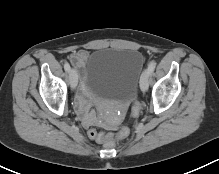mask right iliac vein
I'll list each match as a JSON object with an SVG mask.
<instances>
[{
    "instance_id": "63e3f726",
    "label": "right iliac vein",
    "mask_w": 219,
    "mask_h": 174,
    "mask_svg": "<svg viewBox=\"0 0 219 174\" xmlns=\"http://www.w3.org/2000/svg\"><path fill=\"white\" fill-rule=\"evenodd\" d=\"M69 81L72 89H75L78 83V74L75 69L69 71Z\"/></svg>"
}]
</instances>
